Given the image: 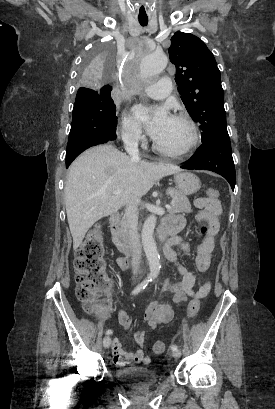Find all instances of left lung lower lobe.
<instances>
[{
  "mask_svg": "<svg viewBox=\"0 0 275 409\" xmlns=\"http://www.w3.org/2000/svg\"><path fill=\"white\" fill-rule=\"evenodd\" d=\"M181 168L216 172L222 175L234 190L236 174L229 137H220L202 144Z\"/></svg>",
  "mask_w": 275,
  "mask_h": 409,
  "instance_id": "left-lung-lower-lobe-1",
  "label": "left lung lower lobe"
}]
</instances>
